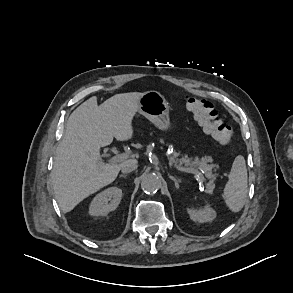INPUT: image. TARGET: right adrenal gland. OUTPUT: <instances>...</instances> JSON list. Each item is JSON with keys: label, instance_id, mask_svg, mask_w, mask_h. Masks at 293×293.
<instances>
[{"label": "right adrenal gland", "instance_id": "1", "mask_svg": "<svg viewBox=\"0 0 293 293\" xmlns=\"http://www.w3.org/2000/svg\"><path fill=\"white\" fill-rule=\"evenodd\" d=\"M121 177H124V178H125V177H126V175H123V174H121V175H120V178H121Z\"/></svg>", "mask_w": 293, "mask_h": 293}]
</instances>
